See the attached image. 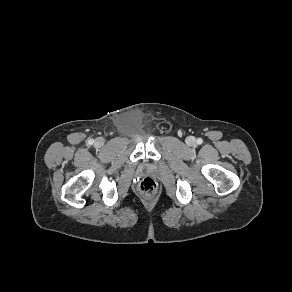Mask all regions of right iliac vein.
Instances as JSON below:
<instances>
[{
  "label": "right iliac vein",
  "instance_id": "1",
  "mask_svg": "<svg viewBox=\"0 0 292 292\" xmlns=\"http://www.w3.org/2000/svg\"><path fill=\"white\" fill-rule=\"evenodd\" d=\"M95 145H96L97 147H102V146L104 145V140H103L102 138H98V139H96V141H95Z\"/></svg>",
  "mask_w": 292,
  "mask_h": 292
}]
</instances>
